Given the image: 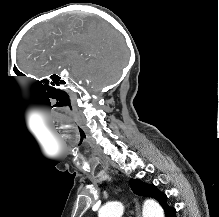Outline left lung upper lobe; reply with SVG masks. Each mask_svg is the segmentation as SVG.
<instances>
[{"label":"left lung upper lobe","mask_w":219,"mask_h":217,"mask_svg":"<svg viewBox=\"0 0 219 217\" xmlns=\"http://www.w3.org/2000/svg\"><path fill=\"white\" fill-rule=\"evenodd\" d=\"M130 185H131L132 191L135 194L140 195V196H148V197H152L156 199L161 204L163 209L168 207L166 203L167 196L161 193L160 191H158L154 185H147L145 183H142L134 179L130 180Z\"/></svg>","instance_id":"left-lung-upper-lobe-1"}]
</instances>
